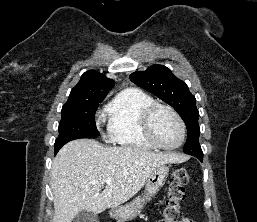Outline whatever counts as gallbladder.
Returning a JSON list of instances; mask_svg holds the SVG:
<instances>
[{
  "instance_id": "bac80fb5",
  "label": "gallbladder",
  "mask_w": 257,
  "mask_h": 222,
  "mask_svg": "<svg viewBox=\"0 0 257 222\" xmlns=\"http://www.w3.org/2000/svg\"><path fill=\"white\" fill-rule=\"evenodd\" d=\"M72 222H99V218L90 211L82 210L73 218Z\"/></svg>"
}]
</instances>
